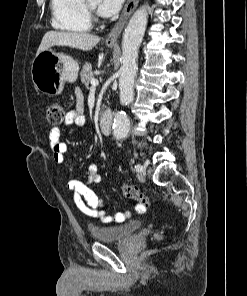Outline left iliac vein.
<instances>
[{"mask_svg":"<svg viewBox=\"0 0 247 296\" xmlns=\"http://www.w3.org/2000/svg\"><path fill=\"white\" fill-rule=\"evenodd\" d=\"M143 167V166H142ZM137 178L140 182L145 181V168L143 167L141 171L138 172Z\"/></svg>","mask_w":247,"mask_h":296,"instance_id":"left-iliac-vein-1","label":"left iliac vein"}]
</instances>
